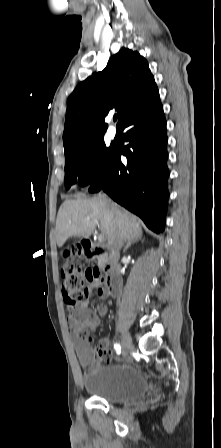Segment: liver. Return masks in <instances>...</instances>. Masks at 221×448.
Instances as JSON below:
<instances>
[{
    "label": "liver",
    "mask_w": 221,
    "mask_h": 448,
    "mask_svg": "<svg viewBox=\"0 0 221 448\" xmlns=\"http://www.w3.org/2000/svg\"><path fill=\"white\" fill-rule=\"evenodd\" d=\"M99 226L109 247L117 242L139 239L142 228L138 218L104 196L66 200L56 220V242L62 247L70 237L88 238Z\"/></svg>",
    "instance_id": "1"
}]
</instances>
